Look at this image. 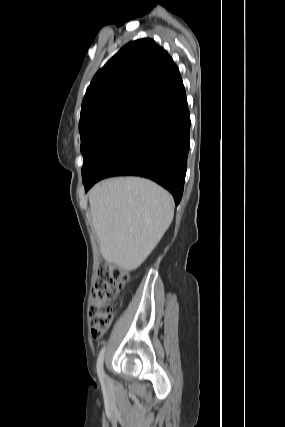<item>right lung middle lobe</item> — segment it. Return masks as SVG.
I'll return each instance as SVG.
<instances>
[{
    "instance_id": "dd1d6c3e",
    "label": "right lung middle lobe",
    "mask_w": 285,
    "mask_h": 427,
    "mask_svg": "<svg viewBox=\"0 0 285 427\" xmlns=\"http://www.w3.org/2000/svg\"><path fill=\"white\" fill-rule=\"evenodd\" d=\"M144 107L128 106L95 118L79 128L83 154L82 179L88 181Z\"/></svg>"
}]
</instances>
